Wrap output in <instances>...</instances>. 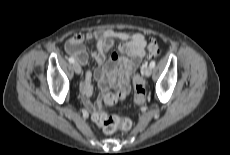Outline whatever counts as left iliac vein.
Listing matches in <instances>:
<instances>
[{
    "label": "left iliac vein",
    "mask_w": 230,
    "mask_h": 155,
    "mask_svg": "<svg viewBox=\"0 0 230 155\" xmlns=\"http://www.w3.org/2000/svg\"><path fill=\"white\" fill-rule=\"evenodd\" d=\"M144 75L146 76V77H149L151 74H152V68L150 67V66H148V67H146L145 69H144Z\"/></svg>",
    "instance_id": "4c4485c4"
}]
</instances>
